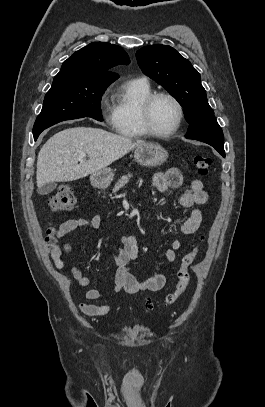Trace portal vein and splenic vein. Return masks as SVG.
I'll return each mask as SVG.
<instances>
[{"instance_id": "1", "label": "portal vein and splenic vein", "mask_w": 265, "mask_h": 407, "mask_svg": "<svg viewBox=\"0 0 265 407\" xmlns=\"http://www.w3.org/2000/svg\"><path fill=\"white\" fill-rule=\"evenodd\" d=\"M79 159H86V155L85 154H83V155H81L80 157H79Z\"/></svg>"}]
</instances>
